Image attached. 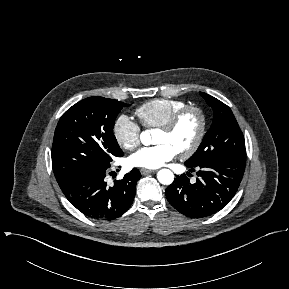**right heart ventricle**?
<instances>
[{"label": "right heart ventricle", "instance_id": "1", "mask_svg": "<svg viewBox=\"0 0 289 289\" xmlns=\"http://www.w3.org/2000/svg\"><path fill=\"white\" fill-rule=\"evenodd\" d=\"M187 104L179 99L157 98L137 108L136 114L147 128H157Z\"/></svg>", "mask_w": 289, "mask_h": 289}]
</instances>
